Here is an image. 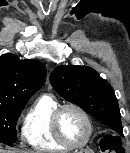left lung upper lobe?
<instances>
[{
	"instance_id": "5c2ea615",
	"label": "left lung upper lobe",
	"mask_w": 130,
	"mask_h": 153,
	"mask_svg": "<svg viewBox=\"0 0 130 153\" xmlns=\"http://www.w3.org/2000/svg\"><path fill=\"white\" fill-rule=\"evenodd\" d=\"M53 88L100 122L123 135L117 98L111 85L87 66L61 65L51 75Z\"/></svg>"
}]
</instances>
